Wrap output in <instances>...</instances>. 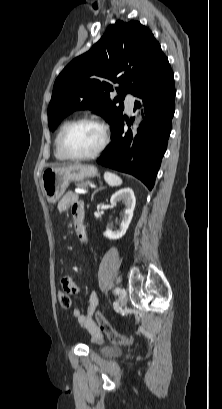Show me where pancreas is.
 Wrapping results in <instances>:
<instances>
[{"instance_id": "cf45deb5", "label": "pancreas", "mask_w": 222, "mask_h": 409, "mask_svg": "<svg viewBox=\"0 0 222 409\" xmlns=\"http://www.w3.org/2000/svg\"><path fill=\"white\" fill-rule=\"evenodd\" d=\"M90 185V181H86V182H81L80 184H78V187L85 189Z\"/></svg>"}]
</instances>
